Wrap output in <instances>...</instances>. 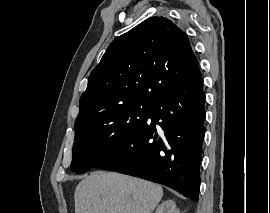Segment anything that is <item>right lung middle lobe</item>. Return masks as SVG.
<instances>
[{
  "label": "right lung middle lobe",
  "instance_id": "dd1d6c3e",
  "mask_svg": "<svg viewBox=\"0 0 270 213\" xmlns=\"http://www.w3.org/2000/svg\"><path fill=\"white\" fill-rule=\"evenodd\" d=\"M153 104L135 102L115 107L75 123L71 170L95 168L147 121Z\"/></svg>",
  "mask_w": 270,
  "mask_h": 213
}]
</instances>
